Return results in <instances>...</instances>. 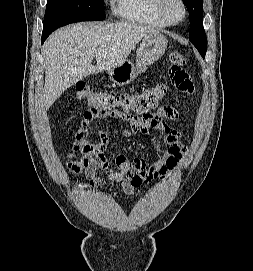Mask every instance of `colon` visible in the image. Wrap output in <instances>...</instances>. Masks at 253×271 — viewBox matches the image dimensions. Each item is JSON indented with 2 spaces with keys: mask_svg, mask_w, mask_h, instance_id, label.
Here are the masks:
<instances>
[{
  "mask_svg": "<svg viewBox=\"0 0 253 271\" xmlns=\"http://www.w3.org/2000/svg\"><path fill=\"white\" fill-rule=\"evenodd\" d=\"M169 61L171 64L169 73L173 84L179 91L191 93L193 85L183 71L186 65L183 55L174 51L170 54ZM167 90V85L160 82L140 92L110 94L94 91L91 86L79 83L75 89V97L79 101H87L97 114L105 115L115 109H120L124 113L132 111L145 114L160 104Z\"/></svg>",
  "mask_w": 253,
  "mask_h": 271,
  "instance_id": "5ec220e1",
  "label": "colon"
}]
</instances>
